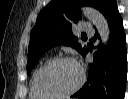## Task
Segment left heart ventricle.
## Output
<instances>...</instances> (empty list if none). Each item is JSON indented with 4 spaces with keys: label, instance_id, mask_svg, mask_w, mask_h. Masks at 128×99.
<instances>
[{
    "label": "left heart ventricle",
    "instance_id": "left-heart-ventricle-1",
    "mask_svg": "<svg viewBox=\"0 0 128 99\" xmlns=\"http://www.w3.org/2000/svg\"><path fill=\"white\" fill-rule=\"evenodd\" d=\"M80 80V69L72 62H63L46 69L40 77L41 87L51 93L66 92Z\"/></svg>",
    "mask_w": 128,
    "mask_h": 99
}]
</instances>
